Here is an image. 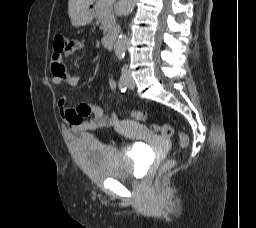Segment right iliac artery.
<instances>
[{"mask_svg": "<svg viewBox=\"0 0 256 228\" xmlns=\"http://www.w3.org/2000/svg\"><path fill=\"white\" fill-rule=\"evenodd\" d=\"M118 86H119V89L121 90V92H125L127 89L128 83H127V78H126V74L124 71L121 74Z\"/></svg>", "mask_w": 256, "mask_h": 228, "instance_id": "right-iliac-artery-1", "label": "right iliac artery"}]
</instances>
